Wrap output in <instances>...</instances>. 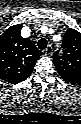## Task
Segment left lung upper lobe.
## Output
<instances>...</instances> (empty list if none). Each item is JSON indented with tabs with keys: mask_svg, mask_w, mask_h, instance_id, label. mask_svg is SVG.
Returning a JSON list of instances; mask_svg holds the SVG:
<instances>
[{
	"mask_svg": "<svg viewBox=\"0 0 81 124\" xmlns=\"http://www.w3.org/2000/svg\"><path fill=\"white\" fill-rule=\"evenodd\" d=\"M62 54L54 53L53 63L61 78L72 84L81 83V33L69 28L63 38Z\"/></svg>",
	"mask_w": 81,
	"mask_h": 124,
	"instance_id": "5c2ea615",
	"label": "left lung upper lobe"
}]
</instances>
